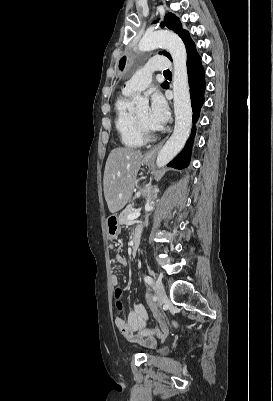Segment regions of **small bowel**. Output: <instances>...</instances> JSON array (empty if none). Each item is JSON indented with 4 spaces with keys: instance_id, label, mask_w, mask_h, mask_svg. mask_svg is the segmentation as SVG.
<instances>
[{
    "instance_id": "small-bowel-1",
    "label": "small bowel",
    "mask_w": 273,
    "mask_h": 401,
    "mask_svg": "<svg viewBox=\"0 0 273 401\" xmlns=\"http://www.w3.org/2000/svg\"><path fill=\"white\" fill-rule=\"evenodd\" d=\"M136 230L134 234L137 232ZM127 263L126 258L121 255L117 254L114 259H113V267L115 272L119 271L123 266H125ZM113 286H118L119 285V278L116 273L112 275L111 278ZM152 312V317L153 318H158L159 317V306L158 305H153L151 307ZM162 318V317H161ZM160 318V319H161ZM149 321V314L146 309V307L139 303L136 302L133 304L132 308L130 309L128 315L126 317H116L114 320V325L118 332L125 338H127V342L130 345H141L144 343L147 346H154L157 345L159 341H164L166 336H169L172 333V328L171 327H159L157 330L154 332H148V333H143L142 337L141 336H133L136 333H141L144 332L147 328V324ZM162 325H165L167 323V320L165 318H162L159 320ZM174 324H178L179 320L174 319L173 320ZM178 326V325H176ZM179 331V330H178ZM181 331V330H180Z\"/></svg>"
}]
</instances>
